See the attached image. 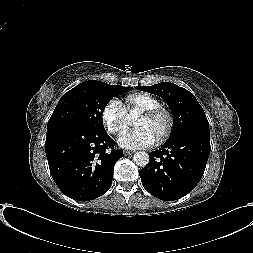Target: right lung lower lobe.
<instances>
[{
    "mask_svg": "<svg viewBox=\"0 0 253 253\" xmlns=\"http://www.w3.org/2000/svg\"><path fill=\"white\" fill-rule=\"evenodd\" d=\"M114 144L106 130L72 125L47 130L49 169L62 193L78 201L103 195L112 184L115 163L123 157Z\"/></svg>",
    "mask_w": 253,
    "mask_h": 253,
    "instance_id": "right-lung-lower-lobe-1",
    "label": "right lung lower lobe"
}]
</instances>
